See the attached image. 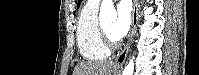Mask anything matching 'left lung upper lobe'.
I'll use <instances>...</instances> for the list:
<instances>
[{
	"mask_svg": "<svg viewBox=\"0 0 199 75\" xmlns=\"http://www.w3.org/2000/svg\"><path fill=\"white\" fill-rule=\"evenodd\" d=\"M81 2H82V0H78L77 8H79Z\"/></svg>",
	"mask_w": 199,
	"mask_h": 75,
	"instance_id": "1",
	"label": "left lung upper lobe"
}]
</instances>
